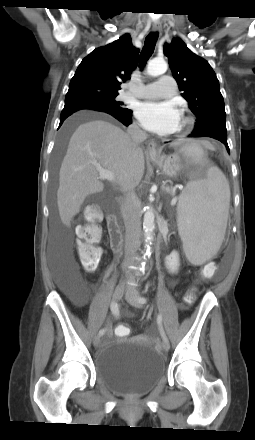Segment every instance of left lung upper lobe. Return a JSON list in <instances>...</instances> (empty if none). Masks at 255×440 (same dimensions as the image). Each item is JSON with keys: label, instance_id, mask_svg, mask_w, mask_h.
<instances>
[{"label": "left lung upper lobe", "instance_id": "left-lung-upper-lobe-1", "mask_svg": "<svg viewBox=\"0 0 255 440\" xmlns=\"http://www.w3.org/2000/svg\"><path fill=\"white\" fill-rule=\"evenodd\" d=\"M164 54L181 94L196 117L193 132L217 129L227 132L224 99L209 63L194 54L181 39L164 45Z\"/></svg>", "mask_w": 255, "mask_h": 440}]
</instances>
